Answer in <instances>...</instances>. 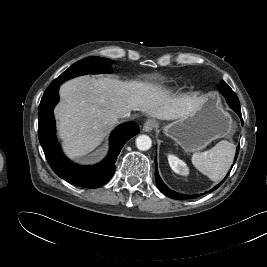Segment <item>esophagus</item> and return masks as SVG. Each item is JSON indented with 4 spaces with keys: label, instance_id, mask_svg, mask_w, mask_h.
I'll use <instances>...</instances> for the list:
<instances>
[{
    "label": "esophagus",
    "instance_id": "esophagus-1",
    "mask_svg": "<svg viewBox=\"0 0 267 267\" xmlns=\"http://www.w3.org/2000/svg\"><path fill=\"white\" fill-rule=\"evenodd\" d=\"M156 125H157V123L155 120L148 119L145 121V123L143 125V131L144 132H151L156 127Z\"/></svg>",
    "mask_w": 267,
    "mask_h": 267
}]
</instances>
